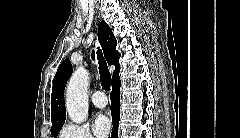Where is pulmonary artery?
I'll use <instances>...</instances> for the list:
<instances>
[{
	"mask_svg": "<svg viewBox=\"0 0 240 138\" xmlns=\"http://www.w3.org/2000/svg\"><path fill=\"white\" fill-rule=\"evenodd\" d=\"M92 102L97 108H104L107 105V99L102 91H96L92 95Z\"/></svg>",
	"mask_w": 240,
	"mask_h": 138,
	"instance_id": "e3ab8cb5",
	"label": "pulmonary artery"
}]
</instances>
